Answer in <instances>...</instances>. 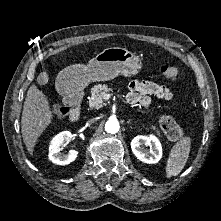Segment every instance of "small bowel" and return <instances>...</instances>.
I'll list each match as a JSON object with an SVG mask.
<instances>
[{
  "label": "small bowel",
  "mask_w": 221,
  "mask_h": 221,
  "mask_svg": "<svg viewBox=\"0 0 221 221\" xmlns=\"http://www.w3.org/2000/svg\"><path fill=\"white\" fill-rule=\"evenodd\" d=\"M131 93L127 96V103L134 105L138 104L147 108L151 104V97H155L164 101H172L173 94L165 86L148 80H134L129 83Z\"/></svg>",
  "instance_id": "1"
}]
</instances>
